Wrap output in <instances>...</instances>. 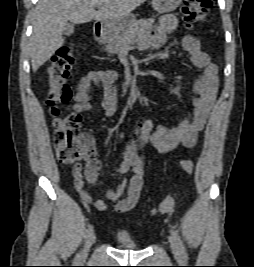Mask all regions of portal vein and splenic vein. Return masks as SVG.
<instances>
[{"label":"portal vein and splenic vein","instance_id":"1","mask_svg":"<svg viewBox=\"0 0 254 267\" xmlns=\"http://www.w3.org/2000/svg\"><path fill=\"white\" fill-rule=\"evenodd\" d=\"M97 7L100 8V4H97ZM135 43V41H132L131 44Z\"/></svg>","mask_w":254,"mask_h":267}]
</instances>
